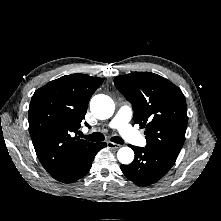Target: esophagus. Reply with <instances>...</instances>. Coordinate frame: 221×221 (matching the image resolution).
Masks as SVG:
<instances>
[{
    "label": "esophagus",
    "instance_id": "34e87169",
    "mask_svg": "<svg viewBox=\"0 0 221 221\" xmlns=\"http://www.w3.org/2000/svg\"><path fill=\"white\" fill-rule=\"evenodd\" d=\"M107 147L109 149H119L121 147V145L113 143V142H107Z\"/></svg>",
    "mask_w": 221,
    "mask_h": 221
}]
</instances>
